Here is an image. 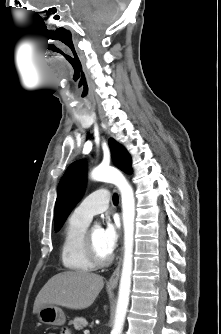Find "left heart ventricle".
<instances>
[{
	"label": "left heart ventricle",
	"instance_id": "obj_1",
	"mask_svg": "<svg viewBox=\"0 0 221 334\" xmlns=\"http://www.w3.org/2000/svg\"><path fill=\"white\" fill-rule=\"evenodd\" d=\"M90 233H91L92 240H93V242L95 244V247H96L97 251L99 252V254L102 255V256H107L108 254H110L109 252H107L104 249V247L102 245L101 229L94 227V228L91 229Z\"/></svg>",
	"mask_w": 221,
	"mask_h": 334
}]
</instances>
